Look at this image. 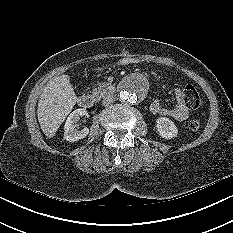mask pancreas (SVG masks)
Here are the masks:
<instances>
[{"label":"pancreas","instance_id":"obj_1","mask_svg":"<svg viewBox=\"0 0 233 233\" xmlns=\"http://www.w3.org/2000/svg\"><path fill=\"white\" fill-rule=\"evenodd\" d=\"M114 87L110 85L107 82H103L99 84L98 88H93L92 89V95L93 97H96L97 99H100L102 97H105L106 94L110 91H112Z\"/></svg>","mask_w":233,"mask_h":233}]
</instances>
